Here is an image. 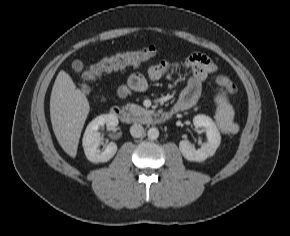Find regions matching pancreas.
<instances>
[{"instance_id":"1","label":"pancreas","mask_w":290,"mask_h":236,"mask_svg":"<svg viewBox=\"0 0 290 236\" xmlns=\"http://www.w3.org/2000/svg\"><path fill=\"white\" fill-rule=\"evenodd\" d=\"M125 107L129 109V111L135 116H141L147 113V111L143 107L136 104H127Z\"/></svg>"}]
</instances>
